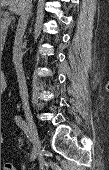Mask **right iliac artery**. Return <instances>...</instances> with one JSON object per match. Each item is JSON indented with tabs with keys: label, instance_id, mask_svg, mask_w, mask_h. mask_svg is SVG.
<instances>
[{
	"label": "right iliac artery",
	"instance_id": "obj_1",
	"mask_svg": "<svg viewBox=\"0 0 109 170\" xmlns=\"http://www.w3.org/2000/svg\"><path fill=\"white\" fill-rule=\"evenodd\" d=\"M15 122L18 125V127H20L22 129V131L26 134L27 138L30 140L29 127H28L27 123L20 116L15 117Z\"/></svg>",
	"mask_w": 109,
	"mask_h": 170
}]
</instances>
